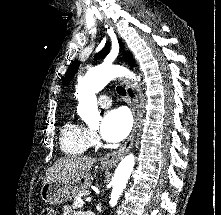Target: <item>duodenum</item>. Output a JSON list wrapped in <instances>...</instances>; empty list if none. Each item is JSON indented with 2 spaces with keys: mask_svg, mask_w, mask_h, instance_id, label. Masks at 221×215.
I'll list each match as a JSON object with an SVG mask.
<instances>
[{
  "mask_svg": "<svg viewBox=\"0 0 221 215\" xmlns=\"http://www.w3.org/2000/svg\"><path fill=\"white\" fill-rule=\"evenodd\" d=\"M86 215H94V214H91V213H87Z\"/></svg>",
  "mask_w": 221,
  "mask_h": 215,
  "instance_id": "410a0bca",
  "label": "duodenum"
}]
</instances>
